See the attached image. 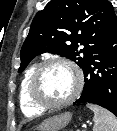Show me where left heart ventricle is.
<instances>
[{
	"instance_id": "left-heart-ventricle-1",
	"label": "left heart ventricle",
	"mask_w": 117,
	"mask_h": 131,
	"mask_svg": "<svg viewBox=\"0 0 117 131\" xmlns=\"http://www.w3.org/2000/svg\"><path fill=\"white\" fill-rule=\"evenodd\" d=\"M76 87L75 73L63 65H52L40 74L37 93L49 102H59L68 98Z\"/></svg>"
}]
</instances>
